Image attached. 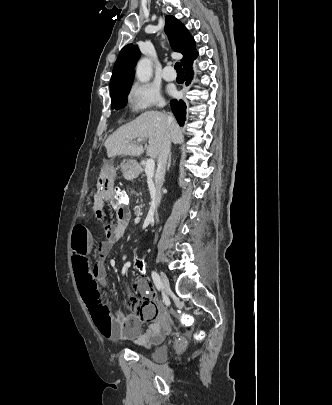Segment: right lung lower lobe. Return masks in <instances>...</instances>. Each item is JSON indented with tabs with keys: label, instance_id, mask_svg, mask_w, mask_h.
I'll return each instance as SVG.
<instances>
[{
	"label": "right lung lower lobe",
	"instance_id": "right-lung-lower-lobe-1",
	"mask_svg": "<svg viewBox=\"0 0 332 405\" xmlns=\"http://www.w3.org/2000/svg\"><path fill=\"white\" fill-rule=\"evenodd\" d=\"M193 62V61H192ZM192 62L186 64L184 67L185 70V79L186 84L188 85L193 77V71L191 70ZM171 109L175 115L180 126L184 125L186 119V104L183 100H171Z\"/></svg>",
	"mask_w": 332,
	"mask_h": 405
}]
</instances>
